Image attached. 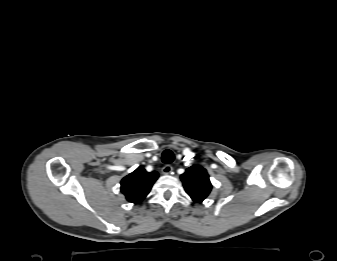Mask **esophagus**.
I'll list each match as a JSON object with an SVG mask.
<instances>
[{"label":"esophagus","mask_w":337,"mask_h":261,"mask_svg":"<svg viewBox=\"0 0 337 261\" xmlns=\"http://www.w3.org/2000/svg\"><path fill=\"white\" fill-rule=\"evenodd\" d=\"M173 171V167L171 165H165L162 168V173L167 175V174H171Z\"/></svg>","instance_id":"34e87169"}]
</instances>
